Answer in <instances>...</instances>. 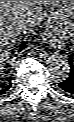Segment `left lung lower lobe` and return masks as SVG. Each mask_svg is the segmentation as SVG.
I'll use <instances>...</instances> for the list:
<instances>
[{
	"mask_svg": "<svg viewBox=\"0 0 74 122\" xmlns=\"http://www.w3.org/2000/svg\"><path fill=\"white\" fill-rule=\"evenodd\" d=\"M70 75L64 81L60 82L59 87L67 93L74 94V57L69 59Z\"/></svg>",
	"mask_w": 74,
	"mask_h": 122,
	"instance_id": "left-lung-lower-lobe-1",
	"label": "left lung lower lobe"
}]
</instances>
